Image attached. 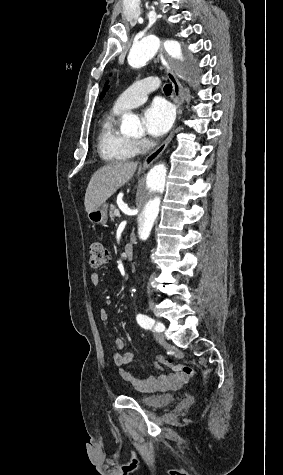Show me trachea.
<instances>
[{
    "label": "trachea",
    "instance_id": "3493384b",
    "mask_svg": "<svg viewBox=\"0 0 283 475\" xmlns=\"http://www.w3.org/2000/svg\"><path fill=\"white\" fill-rule=\"evenodd\" d=\"M163 90L166 94H170L172 92V85L170 84L165 85Z\"/></svg>",
    "mask_w": 283,
    "mask_h": 475
}]
</instances>
